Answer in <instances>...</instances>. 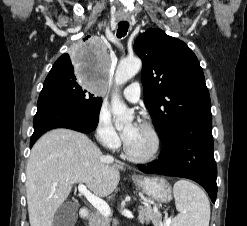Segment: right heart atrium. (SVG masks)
Wrapping results in <instances>:
<instances>
[{
    "label": "right heart atrium",
    "instance_id": "obj_1",
    "mask_svg": "<svg viewBox=\"0 0 247 226\" xmlns=\"http://www.w3.org/2000/svg\"><path fill=\"white\" fill-rule=\"evenodd\" d=\"M95 133L97 140L104 146L115 149L120 144V138L116 132L109 109L103 105L98 111Z\"/></svg>",
    "mask_w": 247,
    "mask_h": 226
}]
</instances>
